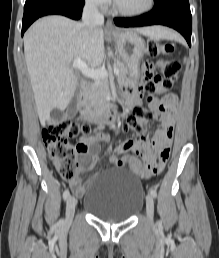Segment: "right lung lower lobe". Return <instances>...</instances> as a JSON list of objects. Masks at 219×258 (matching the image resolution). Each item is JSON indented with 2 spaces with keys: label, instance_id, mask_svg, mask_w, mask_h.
Instances as JSON below:
<instances>
[{
  "label": "right lung lower lobe",
  "instance_id": "1",
  "mask_svg": "<svg viewBox=\"0 0 219 258\" xmlns=\"http://www.w3.org/2000/svg\"><path fill=\"white\" fill-rule=\"evenodd\" d=\"M84 0H36L24 6L22 36L26 29L39 17L59 14L78 20L82 15Z\"/></svg>",
  "mask_w": 219,
  "mask_h": 258
}]
</instances>
